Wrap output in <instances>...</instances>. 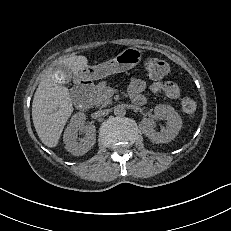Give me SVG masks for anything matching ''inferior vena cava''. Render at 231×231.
<instances>
[{
    "label": "inferior vena cava",
    "mask_w": 231,
    "mask_h": 231,
    "mask_svg": "<svg viewBox=\"0 0 231 231\" xmlns=\"http://www.w3.org/2000/svg\"><path fill=\"white\" fill-rule=\"evenodd\" d=\"M109 114V110L105 109V110H99L97 112L94 113L95 117H101V116H106Z\"/></svg>",
    "instance_id": "602c4592"
}]
</instances>
